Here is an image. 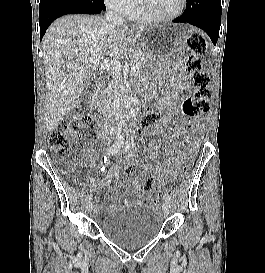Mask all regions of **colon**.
<instances>
[{
	"mask_svg": "<svg viewBox=\"0 0 265 273\" xmlns=\"http://www.w3.org/2000/svg\"><path fill=\"white\" fill-rule=\"evenodd\" d=\"M207 44L203 36L193 32L186 36L183 45L180 47L181 52L186 53V69L193 73V85L195 91L192 98L186 99L182 104V113L192 117L203 116L210 111V77L207 72L203 71L200 55L205 53ZM158 120L155 112L146 113L141 120L140 132L153 126ZM95 123L91 117L85 116L79 120L69 123H60L55 126L49 134V143L54 148L58 156L65 157L71 150V136L79 133L82 136H90L95 133ZM136 172L134 165L126 167V173L133 175ZM144 190L146 192H155L156 182L148 178L144 181Z\"/></svg>",
	"mask_w": 265,
	"mask_h": 273,
	"instance_id": "1",
	"label": "colon"
}]
</instances>
